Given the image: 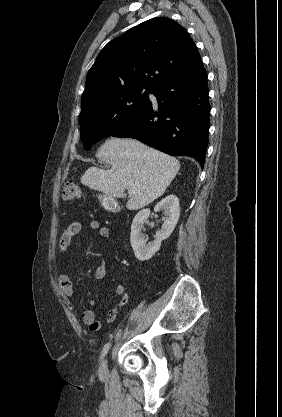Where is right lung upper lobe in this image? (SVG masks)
<instances>
[{"label":"right lung upper lobe","mask_w":282,"mask_h":417,"mask_svg":"<svg viewBox=\"0 0 282 417\" xmlns=\"http://www.w3.org/2000/svg\"><path fill=\"white\" fill-rule=\"evenodd\" d=\"M200 63L195 43L181 25L166 17L153 18L101 50L88 71L82 101L134 87L156 90L172 76Z\"/></svg>","instance_id":"right-lung-upper-lobe-1"}]
</instances>
